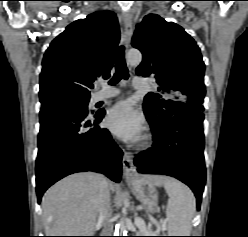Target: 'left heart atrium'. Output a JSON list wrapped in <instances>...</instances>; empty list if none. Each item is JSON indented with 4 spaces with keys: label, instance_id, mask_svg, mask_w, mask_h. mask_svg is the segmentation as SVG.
<instances>
[{
    "label": "left heart atrium",
    "instance_id": "39dd6f15",
    "mask_svg": "<svg viewBox=\"0 0 248 237\" xmlns=\"http://www.w3.org/2000/svg\"><path fill=\"white\" fill-rule=\"evenodd\" d=\"M105 123L113 134L125 141L138 140L144 129L143 117L130 101L116 103L108 111Z\"/></svg>",
    "mask_w": 248,
    "mask_h": 237
}]
</instances>
